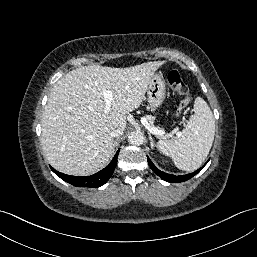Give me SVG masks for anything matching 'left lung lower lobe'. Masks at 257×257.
Returning a JSON list of instances; mask_svg holds the SVG:
<instances>
[{
	"instance_id": "0a47b994",
	"label": "left lung lower lobe",
	"mask_w": 257,
	"mask_h": 257,
	"mask_svg": "<svg viewBox=\"0 0 257 257\" xmlns=\"http://www.w3.org/2000/svg\"><path fill=\"white\" fill-rule=\"evenodd\" d=\"M148 159V164L149 166L151 167V169L158 175L160 176V178H162L163 180L167 181V182H170V183H178V182H183V181H186L190 178H192L194 175H196L202 168L196 170L195 172L193 173H190V174H187V175H181V176H175V175H171V174H167V173H164L162 171H160L153 163L152 161L149 159V157H147ZM208 162V161H207Z\"/></svg>"
}]
</instances>
